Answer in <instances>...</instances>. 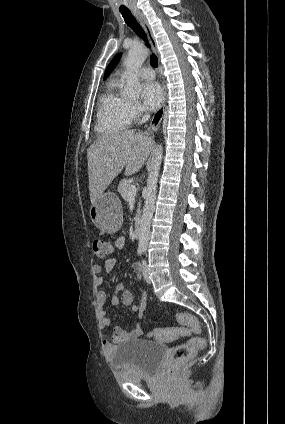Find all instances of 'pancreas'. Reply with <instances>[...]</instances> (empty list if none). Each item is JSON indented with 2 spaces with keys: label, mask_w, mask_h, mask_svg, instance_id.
I'll list each match as a JSON object with an SVG mask.
<instances>
[{
  "label": "pancreas",
  "mask_w": 285,
  "mask_h": 424,
  "mask_svg": "<svg viewBox=\"0 0 285 424\" xmlns=\"http://www.w3.org/2000/svg\"><path fill=\"white\" fill-rule=\"evenodd\" d=\"M132 185V181L129 179H122L118 185V192L124 200L129 198L128 188ZM140 206V204H139Z\"/></svg>",
  "instance_id": "pancreas-1"
}]
</instances>
